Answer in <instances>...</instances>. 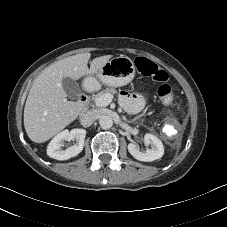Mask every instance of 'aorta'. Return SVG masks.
<instances>
[{
  "mask_svg": "<svg viewBox=\"0 0 227 227\" xmlns=\"http://www.w3.org/2000/svg\"><path fill=\"white\" fill-rule=\"evenodd\" d=\"M99 125L103 129H109L113 126V119L109 115H102L99 118Z\"/></svg>",
  "mask_w": 227,
  "mask_h": 227,
  "instance_id": "obj_1",
  "label": "aorta"
}]
</instances>
